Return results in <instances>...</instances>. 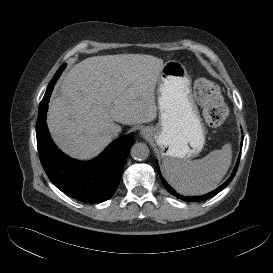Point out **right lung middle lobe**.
Masks as SVG:
<instances>
[{
  "mask_svg": "<svg viewBox=\"0 0 273 273\" xmlns=\"http://www.w3.org/2000/svg\"><path fill=\"white\" fill-rule=\"evenodd\" d=\"M65 68V65H63L55 74L54 78L51 80L50 83H55L57 81V79L59 78V76L61 75L63 69Z\"/></svg>",
  "mask_w": 273,
  "mask_h": 273,
  "instance_id": "dd1d6c3e",
  "label": "right lung middle lobe"
}]
</instances>
